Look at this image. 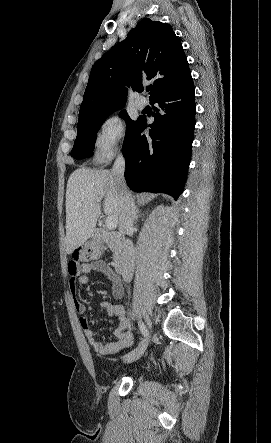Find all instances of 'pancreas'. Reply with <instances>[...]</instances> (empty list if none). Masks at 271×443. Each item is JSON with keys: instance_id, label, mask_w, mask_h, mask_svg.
Instances as JSON below:
<instances>
[{"instance_id": "1", "label": "pancreas", "mask_w": 271, "mask_h": 443, "mask_svg": "<svg viewBox=\"0 0 271 443\" xmlns=\"http://www.w3.org/2000/svg\"><path fill=\"white\" fill-rule=\"evenodd\" d=\"M104 241H105V243H108L111 251H115V247H114L113 243H110V241H109V239H107L106 235L104 237Z\"/></svg>"}]
</instances>
